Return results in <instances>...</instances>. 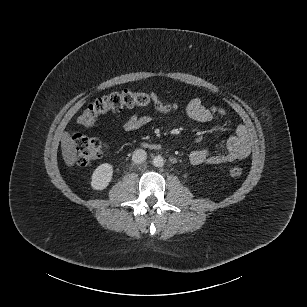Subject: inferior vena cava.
<instances>
[{
	"label": "inferior vena cava",
	"instance_id": "1",
	"mask_svg": "<svg viewBox=\"0 0 307 307\" xmlns=\"http://www.w3.org/2000/svg\"><path fill=\"white\" fill-rule=\"evenodd\" d=\"M147 159V153L145 150L143 149H137L133 152V155H132V161L134 163H143L145 162Z\"/></svg>",
	"mask_w": 307,
	"mask_h": 307
}]
</instances>
